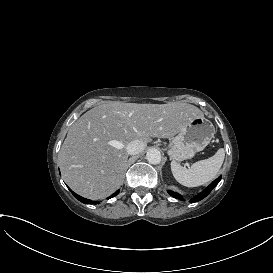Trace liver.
Instances as JSON below:
<instances>
[{"instance_id":"1","label":"liver","mask_w":273,"mask_h":273,"mask_svg":"<svg viewBox=\"0 0 273 273\" xmlns=\"http://www.w3.org/2000/svg\"><path fill=\"white\" fill-rule=\"evenodd\" d=\"M203 116L198 107L181 102L96 106L68 130L59 153L64 181L86 198H105L123 183L128 143L173 137L189 121Z\"/></svg>"}]
</instances>
